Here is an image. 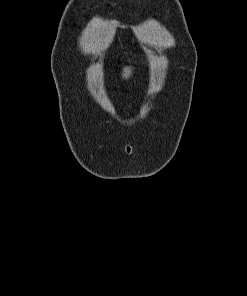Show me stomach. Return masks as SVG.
<instances>
[{
  "instance_id": "obj_1",
  "label": "stomach",
  "mask_w": 247,
  "mask_h": 296,
  "mask_svg": "<svg viewBox=\"0 0 247 296\" xmlns=\"http://www.w3.org/2000/svg\"><path fill=\"white\" fill-rule=\"evenodd\" d=\"M133 73V69L130 66H125L122 69V79L127 80Z\"/></svg>"
}]
</instances>
